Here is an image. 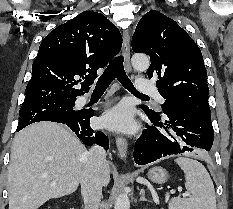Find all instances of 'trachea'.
I'll return each mask as SVG.
<instances>
[{"label": "trachea", "mask_w": 233, "mask_h": 209, "mask_svg": "<svg viewBox=\"0 0 233 209\" xmlns=\"http://www.w3.org/2000/svg\"><path fill=\"white\" fill-rule=\"evenodd\" d=\"M124 58L118 56L108 65L107 69L101 75L96 83L95 90H106L110 83L117 78V80L122 84V86L130 91L131 93L139 96L149 97L136 90L131 80L128 78L124 70Z\"/></svg>", "instance_id": "1"}]
</instances>
